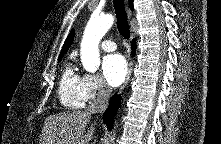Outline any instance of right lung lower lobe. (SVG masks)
Segmentation results:
<instances>
[{"label": "right lung lower lobe", "instance_id": "right-lung-lower-lobe-1", "mask_svg": "<svg viewBox=\"0 0 221 144\" xmlns=\"http://www.w3.org/2000/svg\"><path fill=\"white\" fill-rule=\"evenodd\" d=\"M132 53H135V44L132 42ZM121 98L120 96L114 95L110 99L109 106L105 113L103 114V120L109 129H112L114 116L116 114L117 109L120 106Z\"/></svg>", "mask_w": 221, "mask_h": 144}]
</instances>
